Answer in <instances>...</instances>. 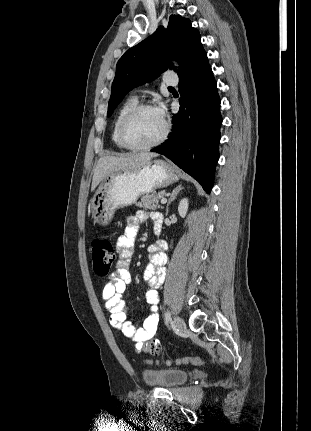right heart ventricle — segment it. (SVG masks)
Returning <instances> with one entry per match:
<instances>
[{
	"instance_id": "right-heart-ventricle-1",
	"label": "right heart ventricle",
	"mask_w": 311,
	"mask_h": 431,
	"mask_svg": "<svg viewBox=\"0 0 311 431\" xmlns=\"http://www.w3.org/2000/svg\"><path fill=\"white\" fill-rule=\"evenodd\" d=\"M138 102H139V100L135 95L128 96L127 98H125L123 100V102L121 103V105L119 106V108L116 112L114 122H113V127H112L111 138H112V142H113L114 146L119 150H126L127 149L123 145V143L120 139V135H119L120 123H121L123 117L131 109H133L138 104Z\"/></svg>"
}]
</instances>
